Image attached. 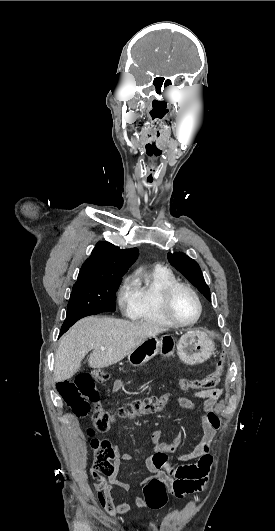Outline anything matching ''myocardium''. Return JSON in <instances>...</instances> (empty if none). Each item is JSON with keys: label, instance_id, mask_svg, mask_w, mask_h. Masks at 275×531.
<instances>
[{"label": "myocardium", "instance_id": "obj_1", "mask_svg": "<svg viewBox=\"0 0 275 531\" xmlns=\"http://www.w3.org/2000/svg\"><path fill=\"white\" fill-rule=\"evenodd\" d=\"M178 289L186 290L187 292H189L192 295V297L196 301V304H197V307H198V312H197L196 317L192 321L181 322L172 313V310H171V299H172L173 294ZM161 307H162V311H163L164 315L166 316V318L172 324H174L177 327H188V326H192V325L196 324L200 320V318L202 316V312H203L202 302H201L200 297L198 296L197 292L191 286H189V285H187L185 283H182V282H177V281L174 282V283L169 284L168 286H166L164 288L163 293H162V297H161Z\"/></svg>", "mask_w": 275, "mask_h": 531}]
</instances>
